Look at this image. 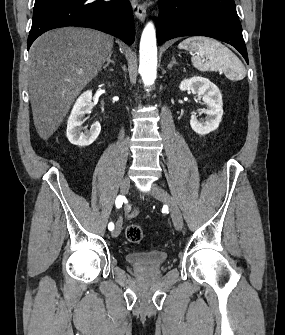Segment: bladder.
<instances>
[{
    "label": "bladder",
    "mask_w": 285,
    "mask_h": 335,
    "mask_svg": "<svg viewBox=\"0 0 285 335\" xmlns=\"http://www.w3.org/2000/svg\"><path fill=\"white\" fill-rule=\"evenodd\" d=\"M123 259L130 268L151 271L160 266H165L169 260V253L166 250L127 251L124 252Z\"/></svg>",
    "instance_id": "31cf9c89"
}]
</instances>
